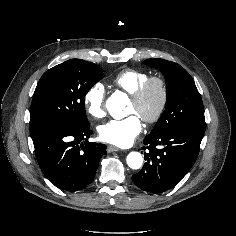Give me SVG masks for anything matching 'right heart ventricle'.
<instances>
[{"instance_id":"obj_1","label":"right heart ventricle","mask_w":236,"mask_h":236,"mask_svg":"<svg viewBox=\"0 0 236 236\" xmlns=\"http://www.w3.org/2000/svg\"><path fill=\"white\" fill-rule=\"evenodd\" d=\"M149 77L147 71L126 69L118 73L112 83L118 89L132 95Z\"/></svg>"}]
</instances>
